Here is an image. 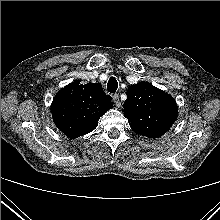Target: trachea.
Segmentation results:
<instances>
[{"label": "trachea", "mask_w": 220, "mask_h": 220, "mask_svg": "<svg viewBox=\"0 0 220 220\" xmlns=\"http://www.w3.org/2000/svg\"><path fill=\"white\" fill-rule=\"evenodd\" d=\"M118 88V82L115 77H111L107 84V90L110 93H115Z\"/></svg>", "instance_id": "trachea-1"}]
</instances>
